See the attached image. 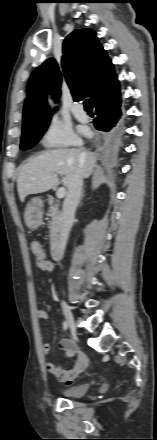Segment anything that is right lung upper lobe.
Masks as SVG:
<instances>
[{
  "label": "right lung upper lobe",
  "instance_id": "obj_1",
  "mask_svg": "<svg viewBox=\"0 0 157 440\" xmlns=\"http://www.w3.org/2000/svg\"><path fill=\"white\" fill-rule=\"evenodd\" d=\"M62 68L74 101L90 97L97 108L104 100L120 93L114 66L91 29H77L67 36L63 43ZM60 84L61 73L52 58L33 71L27 85L23 126L50 120L52 111L46 94L51 92L57 101Z\"/></svg>",
  "mask_w": 157,
  "mask_h": 440
}]
</instances>
